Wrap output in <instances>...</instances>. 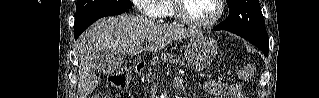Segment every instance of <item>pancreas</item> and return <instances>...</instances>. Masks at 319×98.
I'll use <instances>...</instances> for the list:
<instances>
[{"mask_svg":"<svg viewBox=\"0 0 319 98\" xmlns=\"http://www.w3.org/2000/svg\"><path fill=\"white\" fill-rule=\"evenodd\" d=\"M159 60H163L165 62L169 61V62H174V63H178L180 60L176 57V55L172 54V53H168V52H164L160 55V57H155L153 60V66L156 65V63ZM149 74H151V70H149Z\"/></svg>","mask_w":319,"mask_h":98,"instance_id":"1","label":"pancreas"}]
</instances>
